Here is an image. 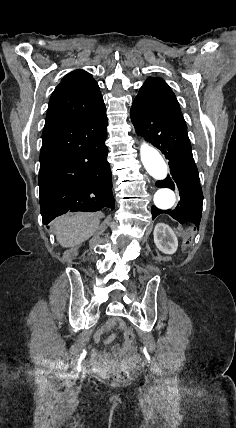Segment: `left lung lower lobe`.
Returning <instances> with one entry per match:
<instances>
[{"label":"left lung lower lobe","instance_id":"0a47b994","mask_svg":"<svg viewBox=\"0 0 236 428\" xmlns=\"http://www.w3.org/2000/svg\"><path fill=\"white\" fill-rule=\"evenodd\" d=\"M130 114L137 134L144 136L169 160L171 176L157 181L156 186L177 190L181 198L174 210H160L152 206V219L165 213L181 224L193 223L196 226L194 230L199 229L203 194L183 116L139 107H132Z\"/></svg>","mask_w":236,"mask_h":428}]
</instances>
